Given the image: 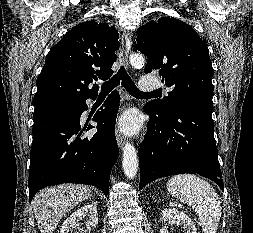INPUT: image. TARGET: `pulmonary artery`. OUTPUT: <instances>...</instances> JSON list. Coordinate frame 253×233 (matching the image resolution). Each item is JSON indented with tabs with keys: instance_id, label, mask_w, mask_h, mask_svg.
Wrapping results in <instances>:
<instances>
[{
	"instance_id": "pulmonary-artery-1",
	"label": "pulmonary artery",
	"mask_w": 253,
	"mask_h": 233,
	"mask_svg": "<svg viewBox=\"0 0 253 233\" xmlns=\"http://www.w3.org/2000/svg\"><path fill=\"white\" fill-rule=\"evenodd\" d=\"M139 84L141 89L147 93H155L160 87V82L152 77H143ZM165 90L168 91L167 88Z\"/></svg>"
}]
</instances>
